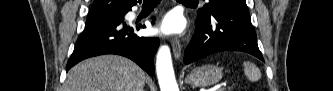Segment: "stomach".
I'll return each mask as SVG.
<instances>
[{"mask_svg": "<svg viewBox=\"0 0 333 91\" xmlns=\"http://www.w3.org/2000/svg\"><path fill=\"white\" fill-rule=\"evenodd\" d=\"M222 76L219 67L208 64L193 69L185 81L192 86L205 87L218 83Z\"/></svg>", "mask_w": 333, "mask_h": 91, "instance_id": "0dacf381", "label": "stomach"}]
</instances>
